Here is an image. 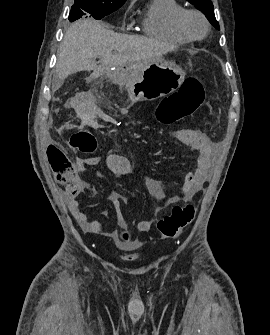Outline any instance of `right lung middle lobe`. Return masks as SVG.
<instances>
[{
    "label": "right lung middle lobe",
    "mask_w": 270,
    "mask_h": 335,
    "mask_svg": "<svg viewBox=\"0 0 270 335\" xmlns=\"http://www.w3.org/2000/svg\"><path fill=\"white\" fill-rule=\"evenodd\" d=\"M122 5L123 3H109L101 0H74V5L70 10L69 20L73 22L82 16L100 20Z\"/></svg>",
    "instance_id": "obj_1"
}]
</instances>
